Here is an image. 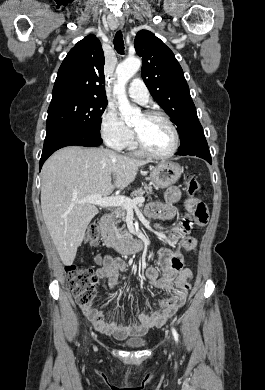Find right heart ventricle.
<instances>
[{
  "instance_id": "1",
  "label": "right heart ventricle",
  "mask_w": 265,
  "mask_h": 390,
  "mask_svg": "<svg viewBox=\"0 0 265 390\" xmlns=\"http://www.w3.org/2000/svg\"><path fill=\"white\" fill-rule=\"evenodd\" d=\"M125 148H128V150H130L131 152H133L136 155L139 154V151L137 149V146L135 144L133 137L131 138V140L129 141V143L127 144V146Z\"/></svg>"
}]
</instances>
